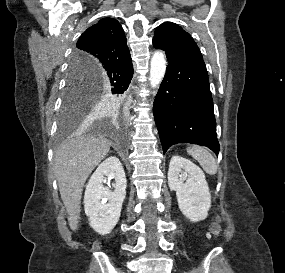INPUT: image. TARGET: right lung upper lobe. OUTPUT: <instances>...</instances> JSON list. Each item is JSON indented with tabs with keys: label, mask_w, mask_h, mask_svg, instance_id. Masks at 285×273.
<instances>
[{
	"label": "right lung upper lobe",
	"mask_w": 285,
	"mask_h": 273,
	"mask_svg": "<svg viewBox=\"0 0 285 273\" xmlns=\"http://www.w3.org/2000/svg\"><path fill=\"white\" fill-rule=\"evenodd\" d=\"M130 56L127 40L120 23L112 18H103L89 27L79 38L71 66L77 74H88L125 60Z\"/></svg>",
	"instance_id": "obj_1"
}]
</instances>
